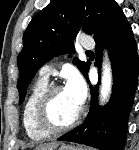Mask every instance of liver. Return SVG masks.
<instances>
[{
    "instance_id": "liver-1",
    "label": "liver",
    "mask_w": 139,
    "mask_h": 150,
    "mask_svg": "<svg viewBox=\"0 0 139 150\" xmlns=\"http://www.w3.org/2000/svg\"><path fill=\"white\" fill-rule=\"evenodd\" d=\"M57 146L58 143L42 144L37 146L35 150H55Z\"/></svg>"
}]
</instances>
